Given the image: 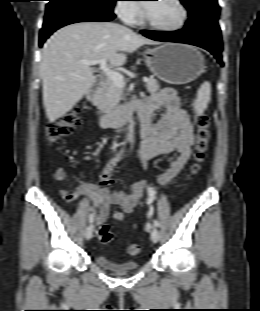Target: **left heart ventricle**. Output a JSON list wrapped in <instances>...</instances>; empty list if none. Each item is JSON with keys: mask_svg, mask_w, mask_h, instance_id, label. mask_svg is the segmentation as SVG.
<instances>
[{"mask_svg": "<svg viewBox=\"0 0 260 311\" xmlns=\"http://www.w3.org/2000/svg\"><path fill=\"white\" fill-rule=\"evenodd\" d=\"M151 22L160 26H172L179 22L181 11L172 0H158L145 5Z\"/></svg>", "mask_w": 260, "mask_h": 311, "instance_id": "1", "label": "left heart ventricle"}]
</instances>
